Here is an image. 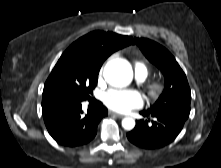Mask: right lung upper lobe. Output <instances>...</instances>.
Listing matches in <instances>:
<instances>
[{
    "label": "right lung upper lobe",
    "instance_id": "cb5924a9",
    "mask_svg": "<svg viewBox=\"0 0 221 168\" xmlns=\"http://www.w3.org/2000/svg\"><path fill=\"white\" fill-rule=\"evenodd\" d=\"M130 44L134 40L129 36L94 31L75 41L64 54L87 55L103 64L113 52Z\"/></svg>",
    "mask_w": 221,
    "mask_h": 168
}]
</instances>
